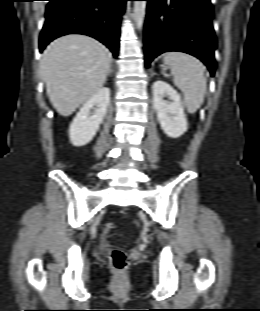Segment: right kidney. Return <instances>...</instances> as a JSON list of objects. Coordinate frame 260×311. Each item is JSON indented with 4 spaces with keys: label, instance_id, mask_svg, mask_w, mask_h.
<instances>
[{
    "label": "right kidney",
    "instance_id": "ca27d5eb",
    "mask_svg": "<svg viewBox=\"0 0 260 311\" xmlns=\"http://www.w3.org/2000/svg\"><path fill=\"white\" fill-rule=\"evenodd\" d=\"M109 103L110 89L103 87L83 105L69 128V138L74 146H84L93 139L103 122Z\"/></svg>",
    "mask_w": 260,
    "mask_h": 311
}]
</instances>
